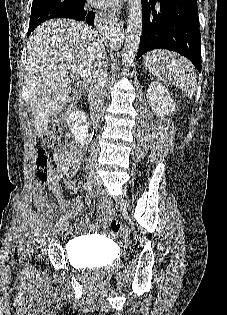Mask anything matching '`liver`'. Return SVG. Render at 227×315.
<instances>
[{"instance_id":"1","label":"liver","mask_w":227,"mask_h":315,"mask_svg":"<svg viewBox=\"0 0 227 315\" xmlns=\"http://www.w3.org/2000/svg\"><path fill=\"white\" fill-rule=\"evenodd\" d=\"M100 52L106 53L97 32L74 20L47 21L30 35L26 82L38 137L47 130L50 118L72 101L71 94L75 93L73 99L77 95L72 67L91 73Z\"/></svg>"}]
</instances>
